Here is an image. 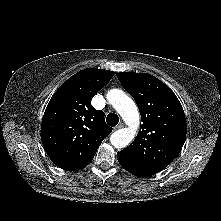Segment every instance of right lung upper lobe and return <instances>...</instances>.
Instances as JSON below:
<instances>
[{
    "label": "right lung upper lobe",
    "instance_id": "obj_1",
    "mask_svg": "<svg viewBox=\"0 0 221 221\" xmlns=\"http://www.w3.org/2000/svg\"><path fill=\"white\" fill-rule=\"evenodd\" d=\"M114 76L113 71L87 68L60 86L50 99L41 125V140L50 159L66 171L86 167L112 131L92 98Z\"/></svg>",
    "mask_w": 221,
    "mask_h": 221
}]
</instances>
